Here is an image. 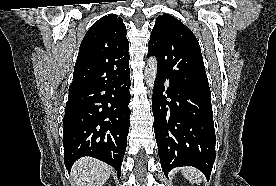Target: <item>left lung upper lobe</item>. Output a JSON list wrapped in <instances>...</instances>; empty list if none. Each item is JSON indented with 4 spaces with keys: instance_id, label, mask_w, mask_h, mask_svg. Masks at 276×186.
<instances>
[{
    "instance_id": "5c2ea615",
    "label": "left lung upper lobe",
    "mask_w": 276,
    "mask_h": 186,
    "mask_svg": "<svg viewBox=\"0 0 276 186\" xmlns=\"http://www.w3.org/2000/svg\"><path fill=\"white\" fill-rule=\"evenodd\" d=\"M148 56H156L158 72L197 90H210L199 43L177 18L157 17L148 43Z\"/></svg>"
}]
</instances>
